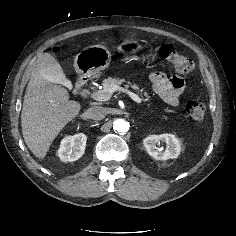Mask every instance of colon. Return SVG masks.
Instances as JSON below:
<instances>
[{"mask_svg": "<svg viewBox=\"0 0 236 236\" xmlns=\"http://www.w3.org/2000/svg\"><path fill=\"white\" fill-rule=\"evenodd\" d=\"M150 53L162 61L171 64L174 70L180 75L190 74L194 70L195 66L193 61L190 58L179 54L169 44L152 47ZM186 112L197 124H204L207 121L206 108L201 102H188L186 104Z\"/></svg>", "mask_w": 236, "mask_h": 236, "instance_id": "5ec220e1", "label": "colon"}]
</instances>
